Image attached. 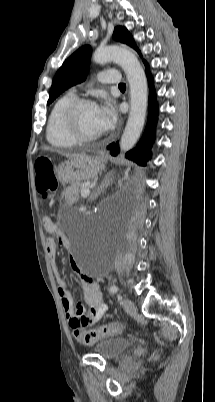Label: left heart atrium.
<instances>
[{
	"label": "left heart atrium",
	"instance_id": "39dd6f15",
	"mask_svg": "<svg viewBox=\"0 0 215 402\" xmlns=\"http://www.w3.org/2000/svg\"><path fill=\"white\" fill-rule=\"evenodd\" d=\"M115 123L116 112L111 102L105 101L97 106V124L101 132L112 129Z\"/></svg>",
	"mask_w": 215,
	"mask_h": 402
}]
</instances>
